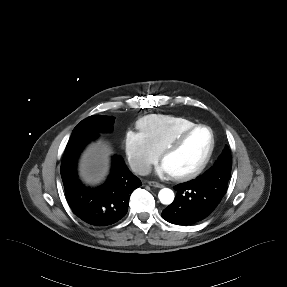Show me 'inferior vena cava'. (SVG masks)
<instances>
[{
    "instance_id": "inferior-vena-cava-1",
    "label": "inferior vena cava",
    "mask_w": 287,
    "mask_h": 287,
    "mask_svg": "<svg viewBox=\"0 0 287 287\" xmlns=\"http://www.w3.org/2000/svg\"><path fill=\"white\" fill-rule=\"evenodd\" d=\"M131 168L135 173L142 176L148 175L151 172V166L146 163H135Z\"/></svg>"
}]
</instances>
